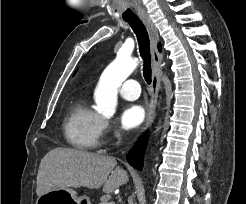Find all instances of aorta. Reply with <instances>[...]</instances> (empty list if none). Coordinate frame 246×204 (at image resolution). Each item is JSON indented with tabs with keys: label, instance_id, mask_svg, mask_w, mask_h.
<instances>
[{
	"label": "aorta",
	"instance_id": "aorta-1",
	"mask_svg": "<svg viewBox=\"0 0 246 204\" xmlns=\"http://www.w3.org/2000/svg\"><path fill=\"white\" fill-rule=\"evenodd\" d=\"M138 60L118 56L104 70L95 91L96 111L104 117H112L117 107V92L120 85L134 71Z\"/></svg>",
	"mask_w": 246,
	"mask_h": 204
}]
</instances>
